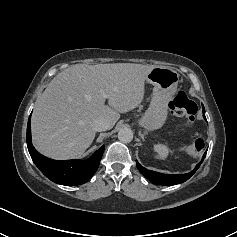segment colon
Listing matches in <instances>:
<instances>
[{
  "mask_svg": "<svg viewBox=\"0 0 237 237\" xmlns=\"http://www.w3.org/2000/svg\"><path fill=\"white\" fill-rule=\"evenodd\" d=\"M169 110L173 115L185 118L186 122L189 124L194 120L198 107L184 92L179 91L170 100ZM204 147V140L198 138L186 146V151L190 154L198 155L203 152Z\"/></svg>",
  "mask_w": 237,
  "mask_h": 237,
  "instance_id": "5ec220e1",
  "label": "colon"
}]
</instances>
